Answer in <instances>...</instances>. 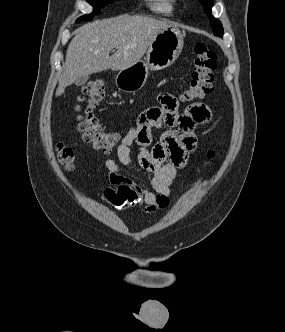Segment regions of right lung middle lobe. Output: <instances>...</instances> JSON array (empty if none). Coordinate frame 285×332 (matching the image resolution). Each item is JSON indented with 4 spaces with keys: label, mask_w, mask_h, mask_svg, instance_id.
I'll return each mask as SVG.
<instances>
[{
    "label": "right lung middle lobe",
    "mask_w": 285,
    "mask_h": 332,
    "mask_svg": "<svg viewBox=\"0 0 285 332\" xmlns=\"http://www.w3.org/2000/svg\"><path fill=\"white\" fill-rule=\"evenodd\" d=\"M113 1L115 0H87V2L94 7V12L92 14L82 16L81 18L77 19V22H80L81 20H91L95 13H99L100 9H102L109 3H112Z\"/></svg>",
    "instance_id": "right-lung-middle-lobe-1"
}]
</instances>
